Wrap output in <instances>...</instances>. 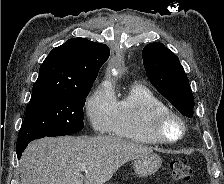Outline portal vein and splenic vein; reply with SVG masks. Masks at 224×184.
<instances>
[{
    "label": "portal vein and splenic vein",
    "instance_id": "portal-vein-and-splenic-vein-1",
    "mask_svg": "<svg viewBox=\"0 0 224 184\" xmlns=\"http://www.w3.org/2000/svg\"><path fill=\"white\" fill-rule=\"evenodd\" d=\"M80 170L83 171V172H86L87 171L86 170V167H81Z\"/></svg>",
    "mask_w": 224,
    "mask_h": 184
}]
</instances>
